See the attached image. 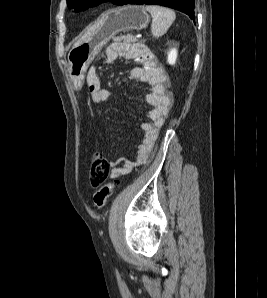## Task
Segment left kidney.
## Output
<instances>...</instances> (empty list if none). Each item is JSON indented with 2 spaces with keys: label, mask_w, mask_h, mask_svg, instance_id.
Here are the masks:
<instances>
[{
  "label": "left kidney",
  "mask_w": 267,
  "mask_h": 298,
  "mask_svg": "<svg viewBox=\"0 0 267 298\" xmlns=\"http://www.w3.org/2000/svg\"><path fill=\"white\" fill-rule=\"evenodd\" d=\"M167 61L170 65H174L177 59V49L171 48L169 52L167 53Z\"/></svg>",
  "instance_id": "left-kidney-1"
}]
</instances>
